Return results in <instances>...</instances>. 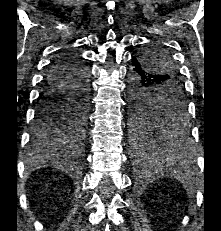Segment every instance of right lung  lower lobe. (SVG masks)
I'll return each mask as SVG.
<instances>
[{
    "label": "right lung lower lobe",
    "mask_w": 221,
    "mask_h": 231,
    "mask_svg": "<svg viewBox=\"0 0 221 231\" xmlns=\"http://www.w3.org/2000/svg\"><path fill=\"white\" fill-rule=\"evenodd\" d=\"M89 79L86 64L74 54L65 52L53 60L45 76L33 125L31 141L34 149H52L61 143L63 132L53 142L38 136L49 120L46 111L49 106L59 105L69 98L82 96L89 99Z\"/></svg>",
    "instance_id": "1"
}]
</instances>
